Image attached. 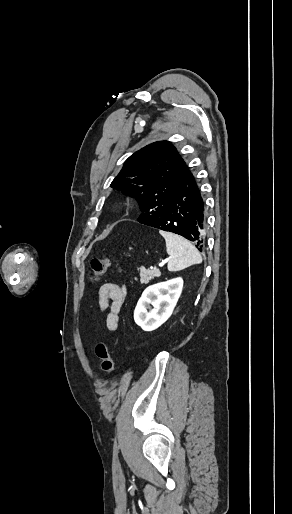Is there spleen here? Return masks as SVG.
<instances>
[{
	"instance_id": "3e777b00",
	"label": "spleen",
	"mask_w": 292,
	"mask_h": 514,
	"mask_svg": "<svg viewBox=\"0 0 292 514\" xmlns=\"http://www.w3.org/2000/svg\"><path fill=\"white\" fill-rule=\"evenodd\" d=\"M159 234L163 236L166 242V250L170 258L167 266L169 272H179V270H185L193 264H201L202 258L191 242L181 238V236L171 234V232L160 230Z\"/></svg>"
}]
</instances>
